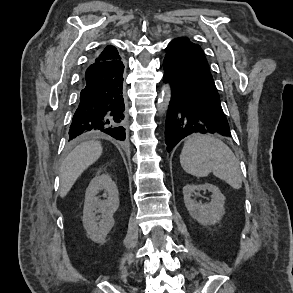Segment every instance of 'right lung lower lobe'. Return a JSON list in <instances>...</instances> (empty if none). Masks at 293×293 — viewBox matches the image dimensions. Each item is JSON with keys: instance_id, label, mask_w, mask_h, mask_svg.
Segmentation results:
<instances>
[{"instance_id": "obj_1", "label": "right lung lower lobe", "mask_w": 293, "mask_h": 293, "mask_svg": "<svg viewBox=\"0 0 293 293\" xmlns=\"http://www.w3.org/2000/svg\"><path fill=\"white\" fill-rule=\"evenodd\" d=\"M122 61L91 64L86 70L69 141L79 135H109L125 140Z\"/></svg>"}]
</instances>
